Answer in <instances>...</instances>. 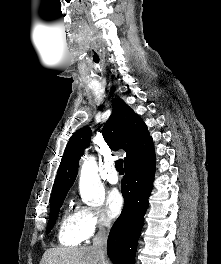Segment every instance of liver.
I'll use <instances>...</instances> for the list:
<instances>
[{
  "label": "liver",
  "instance_id": "6515ba94",
  "mask_svg": "<svg viewBox=\"0 0 221 264\" xmlns=\"http://www.w3.org/2000/svg\"><path fill=\"white\" fill-rule=\"evenodd\" d=\"M40 264H100V262L93 247H81L48 249L43 254Z\"/></svg>",
  "mask_w": 221,
  "mask_h": 264
}]
</instances>
